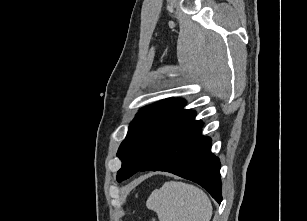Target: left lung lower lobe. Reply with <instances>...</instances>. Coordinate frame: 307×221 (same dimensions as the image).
I'll return each instance as SVG.
<instances>
[{"instance_id":"1","label":"left lung lower lobe","mask_w":307,"mask_h":221,"mask_svg":"<svg viewBox=\"0 0 307 221\" xmlns=\"http://www.w3.org/2000/svg\"><path fill=\"white\" fill-rule=\"evenodd\" d=\"M202 124L189 129L168 144L140 171H166L189 179L222 201L220 161L211 153V140L201 134Z\"/></svg>"}]
</instances>
